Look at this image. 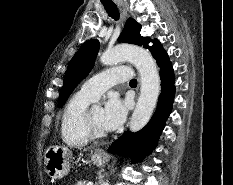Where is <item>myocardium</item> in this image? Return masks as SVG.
<instances>
[{"label": "myocardium", "mask_w": 233, "mask_h": 185, "mask_svg": "<svg viewBox=\"0 0 233 185\" xmlns=\"http://www.w3.org/2000/svg\"><path fill=\"white\" fill-rule=\"evenodd\" d=\"M91 109H87L84 115V126L86 129V132L88 134V136L90 137V139H102L105 138L108 133L107 131H101L98 130L91 118Z\"/></svg>", "instance_id": "1"}]
</instances>
